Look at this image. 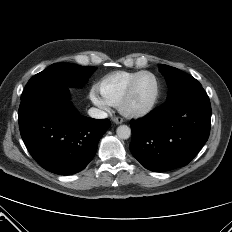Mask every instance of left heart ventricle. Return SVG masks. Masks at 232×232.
Here are the masks:
<instances>
[{
    "mask_svg": "<svg viewBox=\"0 0 232 232\" xmlns=\"http://www.w3.org/2000/svg\"><path fill=\"white\" fill-rule=\"evenodd\" d=\"M156 92L154 79L149 75L142 76L133 91L129 107L139 109L151 102Z\"/></svg>",
    "mask_w": 232,
    "mask_h": 232,
    "instance_id": "b2bd125f",
    "label": "left heart ventricle"
}]
</instances>
